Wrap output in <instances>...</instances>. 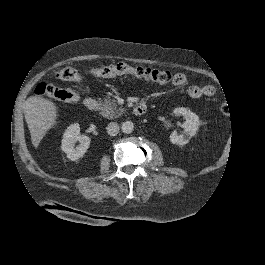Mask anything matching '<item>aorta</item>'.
I'll return each mask as SVG.
<instances>
[{
	"label": "aorta",
	"instance_id": "1",
	"mask_svg": "<svg viewBox=\"0 0 265 265\" xmlns=\"http://www.w3.org/2000/svg\"><path fill=\"white\" fill-rule=\"evenodd\" d=\"M122 131L123 133L130 134L134 130V124L132 121H125L122 123Z\"/></svg>",
	"mask_w": 265,
	"mask_h": 265
}]
</instances>
